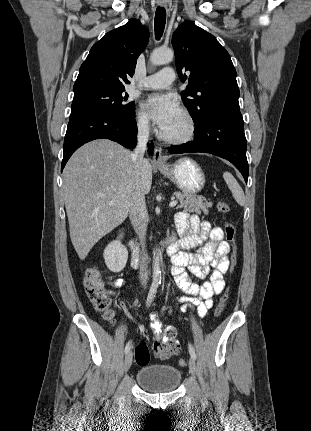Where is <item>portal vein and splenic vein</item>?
Masks as SVG:
<instances>
[{"label": "portal vein and splenic vein", "mask_w": 311, "mask_h": 431, "mask_svg": "<svg viewBox=\"0 0 311 431\" xmlns=\"http://www.w3.org/2000/svg\"><path fill=\"white\" fill-rule=\"evenodd\" d=\"M115 202H109V206H114ZM178 202L177 200H172V202H170L169 206L170 208H174V206H177Z\"/></svg>", "instance_id": "1"}]
</instances>
